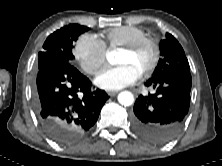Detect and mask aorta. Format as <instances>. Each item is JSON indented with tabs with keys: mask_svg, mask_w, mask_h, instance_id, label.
<instances>
[{
	"mask_svg": "<svg viewBox=\"0 0 222 166\" xmlns=\"http://www.w3.org/2000/svg\"><path fill=\"white\" fill-rule=\"evenodd\" d=\"M106 57H107V60H108L111 64H113V63L115 62V60H114V54H113L112 52L108 53V54L106 55ZM118 101H119V103H120L121 105H123V106H130V105H132L133 102H134V96H133V94H132L131 92H129V91H123V92L119 93V95H118Z\"/></svg>",
	"mask_w": 222,
	"mask_h": 166,
	"instance_id": "obj_1",
	"label": "aorta"
}]
</instances>
